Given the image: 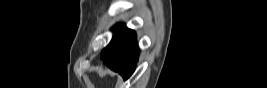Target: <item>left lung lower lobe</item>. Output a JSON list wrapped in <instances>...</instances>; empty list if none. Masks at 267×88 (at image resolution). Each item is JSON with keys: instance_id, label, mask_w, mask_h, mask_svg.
Segmentation results:
<instances>
[{"instance_id": "1", "label": "left lung lower lobe", "mask_w": 267, "mask_h": 88, "mask_svg": "<svg viewBox=\"0 0 267 88\" xmlns=\"http://www.w3.org/2000/svg\"><path fill=\"white\" fill-rule=\"evenodd\" d=\"M101 58L112 70L126 80L133 73L138 58L135 33L125 25L116 26L109 45L102 50Z\"/></svg>"}]
</instances>
